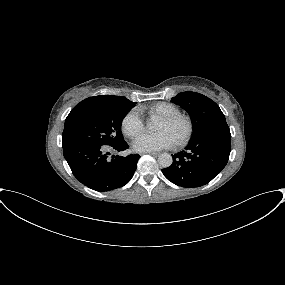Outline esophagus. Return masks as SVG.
<instances>
[{"mask_svg":"<svg viewBox=\"0 0 285 285\" xmlns=\"http://www.w3.org/2000/svg\"><path fill=\"white\" fill-rule=\"evenodd\" d=\"M148 154L152 155V156H158L160 155V153H157V152H149Z\"/></svg>","mask_w":285,"mask_h":285,"instance_id":"34e87169","label":"esophagus"}]
</instances>
